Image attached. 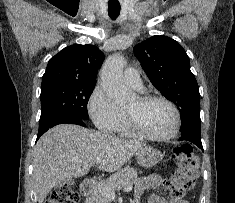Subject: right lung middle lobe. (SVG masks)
I'll use <instances>...</instances> for the list:
<instances>
[{"label":"right lung middle lobe","mask_w":235,"mask_h":203,"mask_svg":"<svg viewBox=\"0 0 235 203\" xmlns=\"http://www.w3.org/2000/svg\"><path fill=\"white\" fill-rule=\"evenodd\" d=\"M95 84L62 82L42 86L39 124L58 117L89 119L87 103Z\"/></svg>","instance_id":"obj_1"}]
</instances>
